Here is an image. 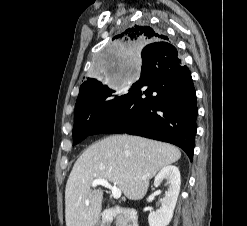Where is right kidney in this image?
<instances>
[{"instance_id": "1", "label": "right kidney", "mask_w": 247, "mask_h": 226, "mask_svg": "<svg viewBox=\"0 0 247 226\" xmlns=\"http://www.w3.org/2000/svg\"><path fill=\"white\" fill-rule=\"evenodd\" d=\"M164 179L168 181L169 188L162 199L161 208L150 212L149 226H167L173 217L181 185L179 169L174 165L162 168L154 179V185L158 187Z\"/></svg>"}]
</instances>
